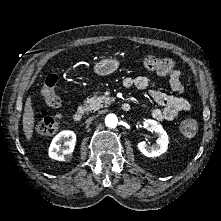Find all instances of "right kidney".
<instances>
[{
    "label": "right kidney",
    "instance_id": "obj_1",
    "mask_svg": "<svg viewBox=\"0 0 221 221\" xmlns=\"http://www.w3.org/2000/svg\"><path fill=\"white\" fill-rule=\"evenodd\" d=\"M76 135L73 131L64 130L58 133L49 147V157L58 161H68L74 151Z\"/></svg>",
    "mask_w": 221,
    "mask_h": 221
}]
</instances>
